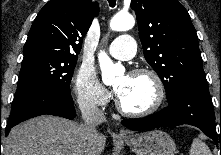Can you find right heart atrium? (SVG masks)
<instances>
[{
    "mask_svg": "<svg viewBox=\"0 0 221 155\" xmlns=\"http://www.w3.org/2000/svg\"><path fill=\"white\" fill-rule=\"evenodd\" d=\"M72 89L77 101L86 106L104 107L110 100V93L98 79L95 71L82 66L72 79Z\"/></svg>",
    "mask_w": 221,
    "mask_h": 155,
    "instance_id": "right-heart-atrium-1",
    "label": "right heart atrium"
}]
</instances>
